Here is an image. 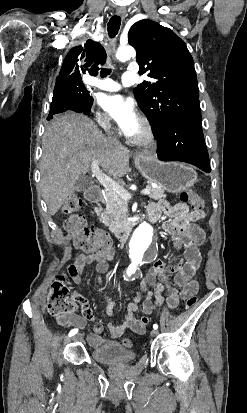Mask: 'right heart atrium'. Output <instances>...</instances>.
Returning <instances> with one entry per match:
<instances>
[{
	"instance_id": "right-heart-atrium-1",
	"label": "right heart atrium",
	"mask_w": 247,
	"mask_h": 413,
	"mask_svg": "<svg viewBox=\"0 0 247 413\" xmlns=\"http://www.w3.org/2000/svg\"><path fill=\"white\" fill-rule=\"evenodd\" d=\"M101 121H102V127H103L105 130H107V129H108V126H107V124L105 123V117H102Z\"/></svg>"
}]
</instances>
